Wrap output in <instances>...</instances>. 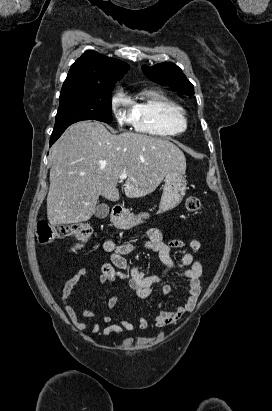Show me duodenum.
<instances>
[{
    "label": "duodenum",
    "mask_w": 272,
    "mask_h": 411,
    "mask_svg": "<svg viewBox=\"0 0 272 411\" xmlns=\"http://www.w3.org/2000/svg\"><path fill=\"white\" fill-rule=\"evenodd\" d=\"M125 211V208L122 205H115L112 209L114 217L120 216Z\"/></svg>",
    "instance_id": "410a0bca"
}]
</instances>
